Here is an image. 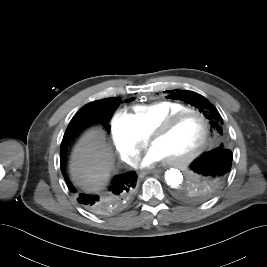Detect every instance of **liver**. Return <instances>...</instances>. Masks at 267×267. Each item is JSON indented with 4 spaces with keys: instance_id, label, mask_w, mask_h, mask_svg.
Returning <instances> with one entry per match:
<instances>
[{
    "instance_id": "liver-1",
    "label": "liver",
    "mask_w": 267,
    "mask_h": 267,
    "mask_svg": "<svg viewBox=\"0 0 267 267\" xmlns=\"http://www.w3.org/2000/svg\"><path fill=\"white\" fill-rule=\"evenodd\" d=\"M113 169V159L101 129L84 134L75 146L70 164L72 180L87 192H97L106 185Z\"/></svg>"
}]
</instances>
